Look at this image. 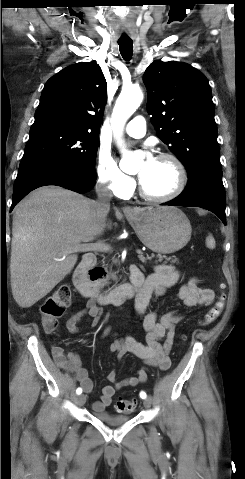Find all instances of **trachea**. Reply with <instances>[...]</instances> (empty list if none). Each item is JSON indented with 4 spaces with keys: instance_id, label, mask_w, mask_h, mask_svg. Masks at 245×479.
Segmentation results:
<instances>
[{
    "instance_id": "obj_1",
    "label": "trachea",
    "mask_w": 245,
    "mask_h": 479,
    "mask_svg": "<svg viewBox=\"0 0 245 479\" xmlns=\"http://www.w3.org/2000/svg\"><path fill=\"white\" fill-rule=\"evenodd\" d=\"M119 50L122 55V57L129 61L132 57L133 53V42L132 40H119Z\"/></svg>"
}]
</instances>
